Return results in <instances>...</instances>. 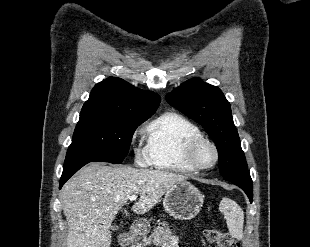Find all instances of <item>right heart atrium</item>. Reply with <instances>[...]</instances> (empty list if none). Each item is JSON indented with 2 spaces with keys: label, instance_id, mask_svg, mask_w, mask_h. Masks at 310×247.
<instances>
[{
  "label": "right heart atrium",
  "instance_id": "d8ad5b80",
  "mask_svg": "<svg viewBox=\"0 0 310 247\" xmlns=\"http://www.w3.org/2000/svg\"><path fill=\"white\" fill-rule=\"evenodd\" d=\"M132 145H133V147H134V151H135V153H136V157H137L138 161H139L140 163H142V164H147V163H149V160H148L147 155H141V154L138 153L137 148L135 147V139H134V138H133V140H132Z\"/></svg>",
  "mask_w": 310,
  "mask_h": 247
}]
</instances>
